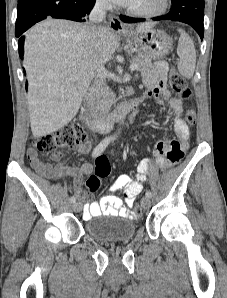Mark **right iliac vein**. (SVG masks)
<instances>
[{
  "label": "right iliac vein",
  "instance_id": "63e3f726",
  "mask_svg": "<svg viewBox=\"0 0 227 298\" xmlns=\"http://www.w3.org/2000/svg\"><path fill=\"white\" fill-rule=\"evenodd\" d=\"M72 207H73L74 212H80L82 210V204L81 203H74Z\"/></svg>",
  "mask_w": 227,
  "mask_h": 298
}]
</instances>
